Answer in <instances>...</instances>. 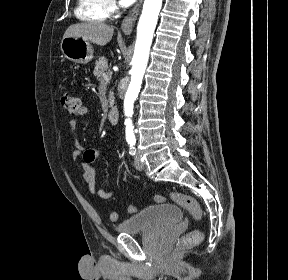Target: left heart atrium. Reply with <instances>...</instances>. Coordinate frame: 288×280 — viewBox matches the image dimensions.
Here are the masks:
<instances>
[{
	"label": "left heart atrium",
	"mask_w": 288,
	"mask_h": 280,
	"mask_svg": "<svg viewBox=\"0 0 288 280\" xmlns=\"http://www.w3.org/2000/svg\"><path fill=\"white\" fill-rule=\"evenodd\" d=\"M135 0H120V4L122 6H129L130 4H132Z\"/></svg>",
	"instance_id": "39dd6f15"
}]
</instances>
